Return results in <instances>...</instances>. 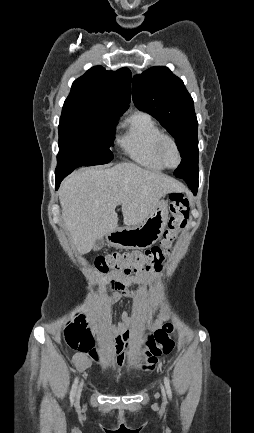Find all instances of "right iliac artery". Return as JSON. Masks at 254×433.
<instances>
[{
	"label": "right iliac artery",
	"mask_w": 254,
	"mask_h": 433,
	"mask_svg": "<svg viewBox=\"0 0 254 433\" xmlns=\"http://www.w3.org/2000/svg\"><path fill=\"white\" fill-rule=\"evenodd\" d=\"M77 386H78V377L74 380V383L72 385V389H71V392H70V400H71V402H73L74 397L76 395Z\"/></svg>",
	"instance_id": "obj_1"
}]
</instances>
